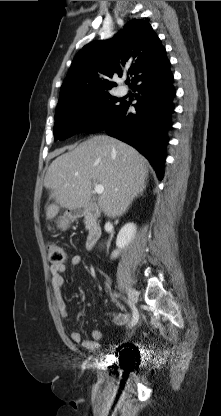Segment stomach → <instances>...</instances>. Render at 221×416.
I'll return each instance as SVG.
<instances>
[{
  "instance_id": "0dacf381",
  "label": "stomach",
  "mask_w": 221,
  "mask_h": 416,
  "mask_svg": "<svg viewBox=\"0 0 221 416\" xmlns=\"http://www.w3.org/2000/svg\"><path fill=\"white\" fill-rule=\"evenodd\" d=\"M74 215L71 213H65L62 217L59 218L58 220V228L62 229V230H66L71 221L74 219Z\"/></svg>"
}]
</instances>
